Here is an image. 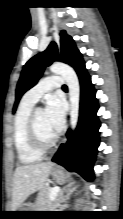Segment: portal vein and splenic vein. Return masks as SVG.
<instances>
[{
    "mask_svg": "<svg viewBox=\"0 0 123 219\" xmlns=\"http://www.w3.org/2000/svg\"><path fill=\"white\" fill-rule=\"evenodd\" d=\"M59 192H60V187H58V186H55L51 189L50 196H49V199L51 202H53L55 200V198Z\"/></svg>",
    "mask_w": 123,
    "mask_h": 219,
    "instance_id": "1",
    "label": "portal vein and splenic vein"
}]
</instances>
